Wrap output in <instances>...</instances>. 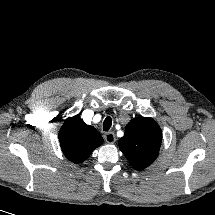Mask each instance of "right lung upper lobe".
Returning <instances> with one entry per match:
<instances>
[{
  "label": "right lung upper lobe",
  "mask_w": 215,
  "mask_h": 215,
  "mask_svg": "<svg viewBox=\"0 0 215 215\" xmlns=\"http://www.w3.org/2000/svg\"><path fill=\"white\" fill-rule=\"evenodd\" d=\"M59 140L64 155L74 163L85 161L103 143L99 132L79 116L66 119L59 131Z\"/></svg>",
  "instance_id": "obj_1"
}]
</instances>
